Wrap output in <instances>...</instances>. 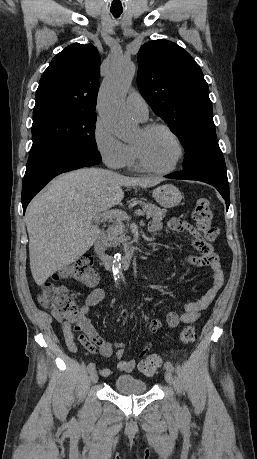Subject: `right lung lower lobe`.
Listing matches in <instances>:
<instances>
[{
    "label": "right lung lower lobe",
    "instance_id": "obj_1",
    "mask_svg": "<svg viewBox=\"0 0 257 459\" xmlns=\"http://www.w3.org/2000/svg\"><path fill=\"white\" fill-rule=\"evenodd\" d=\"M100 162L101 157L67 147L31 152L22 185L23 212L31 199L55 176Z\"/></svg>",
    "mask_w": 257,
    "mask_h": 459
}]
</instances>
